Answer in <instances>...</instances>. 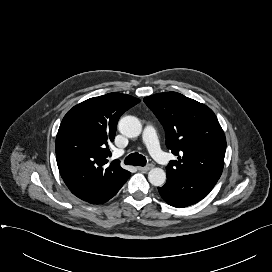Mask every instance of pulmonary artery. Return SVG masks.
I'll use <instances>...</instances> for the list:
<instances>
[{
    "label": "pulmonary artery",
    "mask_w": 272,
    "mask_h": 272,
    "mask_svg": "<svg viewBox=\"0 0 272 272\" xmlns=\"http://www.w3.org/2000/svg\"><path fill=\"white\" fill-rule=\"evenodd\" d=\"M143 142L147 146L151 155L160 163L167 164L168 156L161 150L157 139V134L152 125H147L143 131Z\"/></svg>",
    "instance_id": "obj_1"
}]
</instances>
